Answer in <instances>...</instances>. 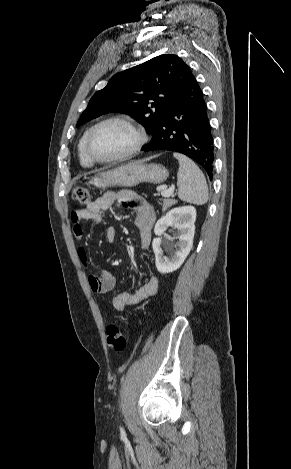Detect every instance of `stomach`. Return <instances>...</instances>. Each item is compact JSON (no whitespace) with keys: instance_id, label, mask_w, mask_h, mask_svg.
<instances>
[{"instance_id":"obj_1","label":"stomach","mask_w":291,"mask_h":469,"mask_svg":"<svg viewBox=\"0 0 291 469\" xmlns=\"http://www.w3.org/2000/svg\"><path fill=\"white\" fill-rule=\"evenodd\" d=\"M167 177L168 170L164 166L135 161L106 172H100L91 177L89 183L97 188L132 187L142 182L159 184L164 182Z\"/></svg>"}]
</instances>
